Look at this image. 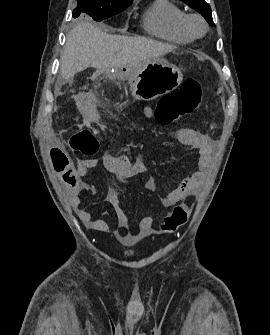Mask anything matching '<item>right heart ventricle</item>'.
Masks as SVG:
<instances>
[{"instance_id":"1","label":"right heart ventricle","mask_w":270,"mask_h":335,"mask_svg":"<svg viewBox=\"0 0 270 335\" xmlns=\"http://www.w3.org/2000/svg\"><path fill=\"white\" fill-rule=\"evenodd\" d=\"M186 14L170 0H156L144 12L141 22L144 30L174 44H189L194 41L184 28Z\"/></svg>"}]
</instances>
